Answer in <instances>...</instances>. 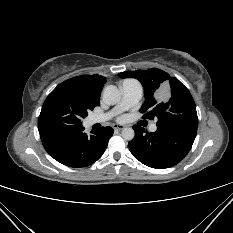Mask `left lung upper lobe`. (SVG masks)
Returning <instances> with one entry per match:
<instances>
[{"mask_svg":"<svg viewBox=\"0 0 233 233\" xmlns=\"http://www.w3.org/2000/svg\"><path fill=\"white\" fill-rule=\"evenodd\" d=\"M121 78H136L143 87L145 102L140 112L143 118H158L160 129H195L198 118L196 106L189 90L175 77L160 69L137 70L118 74ZM168 93V99L161 101L159 96Z\"/></svg>","mask_w":233,"mask_h":233,"instance_id":"left-lung-upper-lobe-1","label":"left lung upper lobe"}]
</instances>
